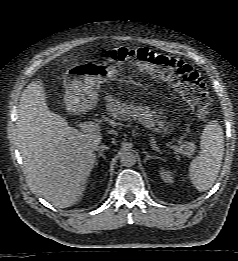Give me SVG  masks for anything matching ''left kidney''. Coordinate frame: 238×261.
<instances>
[{"label":"left kidney","mask_w":238,"mask_h":261,"mask_svg":"<svg viewBox=\"0 0 238 261\" xmlns=\"http://www.w3.org/2000/svg\"><path fill=\"white\" fill-rule=\"evenodd\" d=\"M159 174H160L161 179L165 183H172L173 182V172L172 171L167 170L165 168H160Z\"/></svg>","instance_id":"obj_1"}]
</instances>
